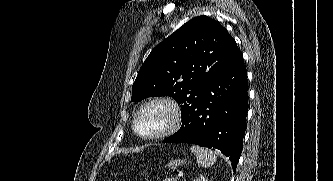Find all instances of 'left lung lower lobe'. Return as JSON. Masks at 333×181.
Wrapping results in <instances>:
<instances>
[{
	"instance_id": "0a47b994",
	"label": "left lung lower lobe",
	"mask_w": 333,
	"mask_h": 181,
	"mask_svg": "<svg viewBox=\"0 0 333 181\" xmlns=\"http://www.w3.org/2000/svg\"><path fill=\"white\" fill-rule=\"evenodd\" d=\"M248 111L247 72L242 53L207 84L199 103L182 115V126L163 143H192L221 151L233 164L242 152Z\"/></svg>"
}]
</instances>
